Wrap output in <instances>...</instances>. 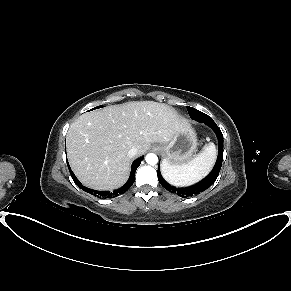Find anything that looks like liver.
I'll use <instances>...</instances> for the list:
<instances>
[{"mask_svg":"<svg viewBox=\"0 0 291 291\" xmlns=\"http://www.w3.org/2000/svg\"><path fill=\"white\" fill-rule=\"evenodd\" d=\"M188 126L172 107L154 101L108 106L78 117L67 133L69 164L77 178L96 190L122 186L130 173L132 147L143 155L152 143H168Z\"/></svg>","mask_w":291,"mask_h":291,"instance_id":"obj_1","label":"liver"}]
</instances>
